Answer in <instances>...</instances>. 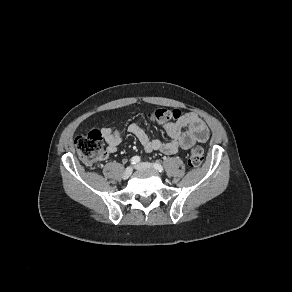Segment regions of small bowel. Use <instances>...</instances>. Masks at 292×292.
<instances>
[{
	"instance_id": "obj_1",
	"label": "small bowel",
	"mask_w": 292,
	"mask_h": 292,
	"mask_svg": "<svg viewBox=\"0 0 292 292\" xmlns=\"http://www.w3.org/2000/svg\"><path fill=\"white\" fill-rule=\"evenodd\" d=\"M164 128L169 141L150 138L146 131L136 122L129 124L128 131L136 137L148 153L159 151L164 154H175L186 150L195 142H205L209 138V129L205 122L194 112H181L176 118L156 120ZM101 133L107 143L106 154H113L121 143L119 130L102 128Z\"/></svg>"
}]
</instances>
